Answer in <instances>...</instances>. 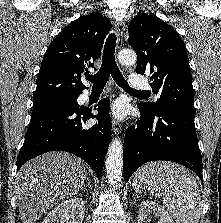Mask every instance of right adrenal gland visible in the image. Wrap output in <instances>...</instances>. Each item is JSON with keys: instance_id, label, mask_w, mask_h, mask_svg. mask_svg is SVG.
<instances>
[{"instance_id": "right-adrenal-gland-1", "label": "right adrenal gland", "mask_w": 221, "mask_h": 223, "mask_svg": "<svg viewBox=\"0 0 221 223\" xmlns=\"http://www.w3.org/2000/svg\"><path fill=\"white\" fill-rule=\"evenodd\" d=\"M85 186H88L89 189H91V185H90L89 178H87V180H86V184H84V185L81 187V190H84V189H85Z\"/></svg>"}]
</instances>
